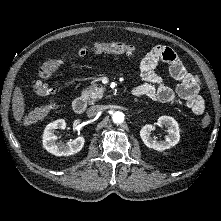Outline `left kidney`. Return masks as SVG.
<instances>
[{
	"label": "left kidney",
	"instance_id": "5707ae66",
	"mask_svg": "<svg viewBox=\"0 0 221 221\" xmlns=\"http://www.w3.org/2000/svg\"><path fill=\"white\" fill-rule=\"evenodd\" d=\"M157 125H164L167 127L168 135L165 140L157 141L151 136V132L155 129L154 125L147 124L140 130V137L144 144L157 151H163L175 146L180 139L179 125L173 117L161 116L158 118Z\"/></svg>",
	"mask_w": 221,
	"mask_h": 221
}]
</instances>
